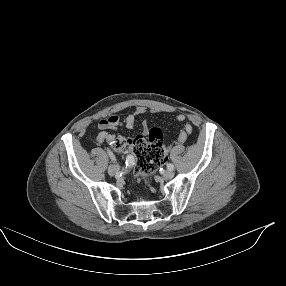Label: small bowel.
<instances>
[{"label": "small bowel", "instance_id": "c3829d8e", "mask_svg": "<svg viewBox=\"0 0 286 286\" xmlns=\"http://www.w3.org/2000/svg\"><path fill=\"white\" fill-rule=\"evenodd\" d=\"M146 108L139 106L136 108L135 112L133 114H129L125 116L124 118H120L118 115H110L108 117H105L101 119L98 123V128L100 132L97 134L95 140L98 144L102 143H111L113 138L115 137L114 134L110 133V131H116L120 127H125L127 129H133L136 124V116L143 115L146 113ZM150 112L152 113H159L161 112V109L159 108H151ZM175 121L177 122H184L187 119V116L185 114H177L174 117ZM148 125L147 123H143L142 125V131L143 133L148 132ZM193 128L190 124L186 123L180 133L177 136L176 143L182 144L184 143L188 136L192 133Z\"/></svg>", "mask_w": 286, "mask_h": 286}]
</instances>
